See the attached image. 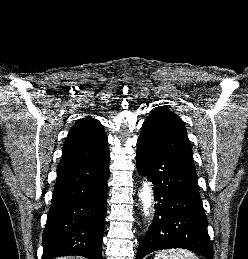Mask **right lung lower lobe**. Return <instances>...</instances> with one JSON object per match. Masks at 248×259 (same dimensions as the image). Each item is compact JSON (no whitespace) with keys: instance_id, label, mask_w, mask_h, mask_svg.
<instances>
[{"instance_id":"98d812e1","label":"right lung lower lobe","mask_w":248,"mask_h":259,"mask_svg":"<svg viewBox=\"0 0 248 259\" xmlns=\"http://www.w3.org/2000/svg\"><path fill=\"white\" fill-rule=\"evenodd\" d=\"M109 164L108 151L98 159L58 167L42 259L68 255L102 259Z\"/></svg>"}]
</instances>
